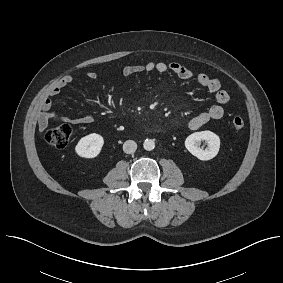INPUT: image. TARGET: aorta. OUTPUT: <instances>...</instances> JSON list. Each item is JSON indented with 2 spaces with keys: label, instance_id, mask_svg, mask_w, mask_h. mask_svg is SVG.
<instances>
[{
  "label": "aorta",
  "instance_id": "obj_1",
  "mask_svg": "<svg viewBox=\"0 0 283 283\" xmlns=\"http://www.w3.org/2000/svg\"><path fill=\"white\" fill-rule=\"evenodd\" d=\"M143 147L147 151H151L155 148V142L153 139H146L143 143Z\"/></svg>",
  "mask_w": 283,
  "mask_h": 283
}]
</instances>
